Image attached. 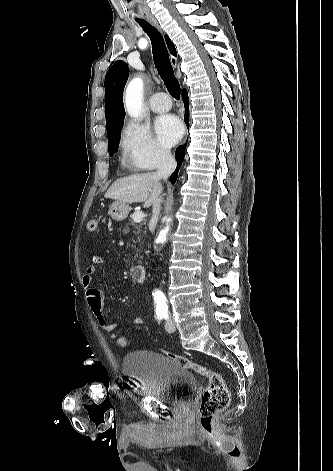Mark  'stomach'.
Returning <instances> with one entry per match:
<instances>
[{"label": "stomach", "instance_id": "stomach-1", "mask_svg": "<svg viewBox=\"0 0 333 471\" xmlns=\"http://www.w3.org/2000/svg\"><path fill=\"white\" fill-rule=\"evenodd\" d=\"M130 206L127 203L115 201L109 208V215L116 221H121L128 215Z\"/></svg>", "mask_w": 333, "mask_h": 471}]
</instances>
